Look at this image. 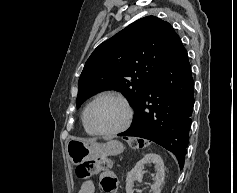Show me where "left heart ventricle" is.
<instances>
[{"mask_svg":"<svg viewBox=\"0 0 237 193\" xmlns=\"http://www.w3.org/2000/svg\"><path fill=\"white\" fill-rule=\"evenodd\" d=\"M126 118L124 107L115 99L103 98L91 109L90 120L95 128L102 131L120 127Z\"/></svg>","mask_w":237,"mask_h":193,"instance_id":"obj_1","label":"left heart ventricle"}]
</instances>
